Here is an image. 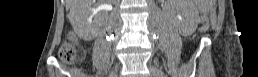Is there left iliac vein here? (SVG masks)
<instances>
[{
    "instance_id": "4c4485c4",
    "label": "left iliac vein",
    "mask_w": 258,
    "mask_h": 77,
    "mask_svg": "<svg viewBox=\"0 0 258 77\" xmlns=\"http://www.w3.org/2000/svg\"><path fill=\"white\" fill-rule=\"evenodd\" d=\"M149 70H150V72L153 76H157V77H162L163 76V72L160 69H158L157 67H155L151 64H149Z\"/></svg>"
}]
</instances>
